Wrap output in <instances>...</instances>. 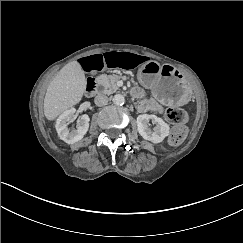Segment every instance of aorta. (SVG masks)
<instances>
[{"instance_id":"762f6f07","label":"aorta","mask_w":243,"mask_h":243,"mask_svg":"<svg viewBox=\"0 0 243 243\" xmlns=\"http://www.w3.org/2000/svg\"><path fill=\"white\" fill-rule=\"evenodd\" d=\"M112 102L115 105H123L125 103V97L122 94H115Z\"/></svg>"}]
</instances>
